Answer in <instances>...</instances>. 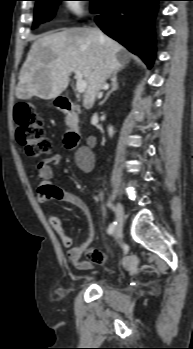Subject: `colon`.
Returning <instances> with one entry per match:
<instances>
[{"instance_id":"colon-1","label":"colon","mask_w":193,"mask_h":349,"mask_svg":"<svg viewBox=\"0 0 193 349\" xmlns=\"http://www.w3.org/2000/svg\"><path fill=\"white\" fill-rule=\"evenodd\" d=\"M14 124L16 139L29 155L40 156L50 151L51 141L46 137L43 121L33 106L16 105Z\"/></svg>"}]
</instances>
